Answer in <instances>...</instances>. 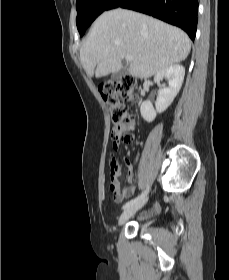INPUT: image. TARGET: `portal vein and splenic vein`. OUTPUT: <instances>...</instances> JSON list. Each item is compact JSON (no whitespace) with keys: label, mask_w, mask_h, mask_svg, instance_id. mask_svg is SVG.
Listing matches in <instances>:
<instances>
[{"label":"portal vein and splenic vein","mask_w":229,"mask_h":280,"mask_svg":"<svg viewBox=\"0 0 229 280\" xmlns=\"http://www.w3.org/2000/svg\"><path fill=\"white\" fill-rule=\"evenodd\" d=\"M125 58H126V61H128V62L133 61V57L130 55L126 56Z\"/></svg>","instance_id":"obj_1"}]
</instances>
